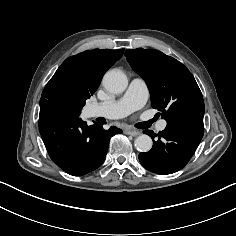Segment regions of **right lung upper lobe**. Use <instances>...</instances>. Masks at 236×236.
Instances as JSON below:
<instances>
[{"label":"right lung upper lobe","instance_id":"right-lung-upper-lobe-1","mask_svg":"<svg viewBox=\"0 0 236 236\" xmlns=\"http://www.w3.org/2000/svg\"><path fill=\"white\" fill-rule=\"evenodd\" d=\"M120 50H88L67 58L47 83L40 107L44 106L46 92L58 83H68L92 95L98 88L104 73L123 55Z\"/></svg>","mask_w":236,"mask_h":236}]
</instances>
